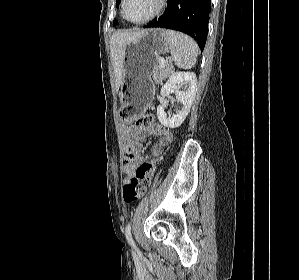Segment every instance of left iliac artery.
<instances>
[{"mask_svg":"<svg viewBox=\"0 0 299 280\" xmlns=\"http://www.w3.org/2000/svg\"><path fill=\"white\" fill-rule=\"evenodd\" d=\"M125 235H126V239L129 242V244L134 246V241H133L132 235H131V225H130V223L126 226Z\"/></svg>","mask_w":299,"mask_h":280,"instance_id":"obj_1","label":"left iliac artery"}]
</instances>
